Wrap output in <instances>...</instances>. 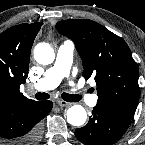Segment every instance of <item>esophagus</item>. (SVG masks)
Masks as SVG:
<instances>
[{"label": "esophagus", "mask_w": 145, "mask_h": 145, "mask_svg": "<svg viewBox=\"0 0 145 145\" xmlns=\"http://www.w3.org/2000/svg\"><path fill=\"white\" fill-rule=\"evenodd\" d=\"M57 104L60 106V107H67V106H70L71 104L67 101H64V100H58L57 101Z\"/></svg>", "instance_id": "esophagus-1"}]
</instances>
